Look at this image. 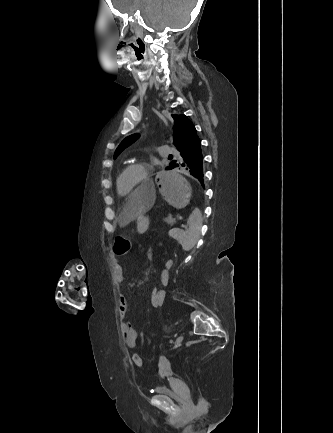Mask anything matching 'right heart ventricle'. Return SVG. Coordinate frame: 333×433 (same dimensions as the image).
I'll return each mask as SVG.
<instances>
[{"label":"right heart ventricle","mask_w":333,"mask_h":433,"mask_svg":"<svg viewBox=\"0 0 333 433\" xmlns=\"http://www.w3.org/2000/svg\"><path fill=\"white\" fill-rule=\"evenodd\" d=\"M117 191H118V194H119L120 196H126V194H127V192H123V191L121 190L120 186L118 187Z\"/></svg>","instance_id":"1"}]
</instances>
